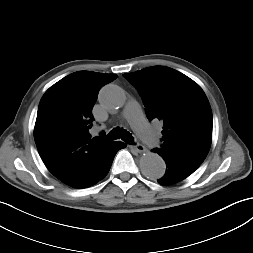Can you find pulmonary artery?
<instances>
[{
    "mask_svg": "<svg viewBox=\"0 0 253 253\" xmlns=\"http://www.w3.org/2000/svg\"><path fill=\"white\" fill-rule=\"evenodd\" d=\"M124 115L133 126H141V136L146 143H148L149 145H157L159 143V138L157 134L144 123L142 118V111L137 102H129L124 110Z\"/></svg>",
    "mask_w": 253,
    "mask_h": 253,
    "instance_id": "pulmonary-artery-1",
    "label": "pulmonary artery"
}]
</instances>
